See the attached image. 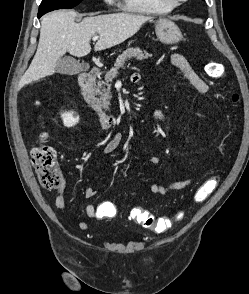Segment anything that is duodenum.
Masks as SVG:
<instances>
[{
	"label": "duodenum",
	"mask_w": 249,
	"mask_h": 294,
	"mask_svg": "<svg viewBox=\"0 0 249 294\" xmlns=\"http://www.w3.org/2000/svg\"><path fill=\"white\" fill-rule=\"evenodd\" d=\"M99 73V68L94 67L84 71L79 76V91L86 106L99 118L105 129H112L117 124V119L105 113L101 102L95 93L93 81Z\"/></svg>",
	"instance_id": "obj_1"
}]
</instances>
